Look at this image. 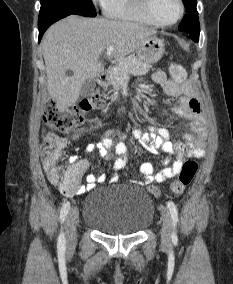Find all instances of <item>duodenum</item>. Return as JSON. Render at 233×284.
<instances>
[{"label": "duodenum", "instance_id": "duodenum-1", "mask_svg": "<svg viewBox=\"0 0 233 284\" xmlns=\"http://www.w3.org/2000/svg\"><path fill=\"white\" fill-rule=\"evenodd\" d=\"M98 81L102 86H106L110 81V72L107 70L101 72L98 77Z\"/></svg>", "mask_w": 233, "mask_h": 284}]
</instances>
